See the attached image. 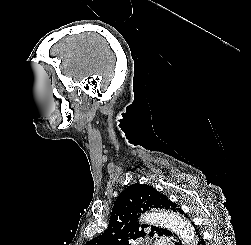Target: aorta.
I'll list each match as a JSON object with an SVG mask.
<instances>
[{
    "mask_svg": "<svg viewBox=\"0 0 251 245\" xmlns=\"http://www.w3.org/2000/svg\"><path fill=\"white\" fill-rule=\"evenodd\" d=\"M142 221L171 230L180 237L184 245H195V232L191 223L177 213L156 210L146 213Z\"/></svg>",
    "mask_w": 251,
    "mask_h": 245,
    "instance_id": "obj_1",
    "label": "aorta"
}]
</instances>
